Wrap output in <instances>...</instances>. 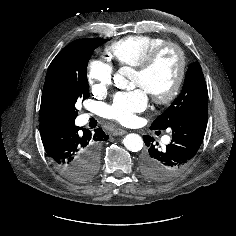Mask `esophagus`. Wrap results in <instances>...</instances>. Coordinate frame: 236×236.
<instances>
[{
  "instance_id": "1",
  "label": "esophagus",
  "mask_w": 236,
  "mask_h": 236,
  "mask_svg": "<svg viewBox=\"0 0 236 236\" xmlns=\"http://www.w3.org/2000/svg\"><path fill=\"white\" fill-rule=\"evenodd\" d=\"M126 133H127V131L122 128H117L113 131V135H115V136L116 135H124Z\"/></svg>"
}]
</instances>
